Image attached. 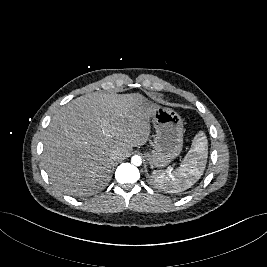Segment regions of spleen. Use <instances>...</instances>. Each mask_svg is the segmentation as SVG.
Segmentation results:
<instances>
[{
    "mask_svg": "<svg viewBox=\"0 0 267 267\" xmlns=\"http://www.w3.org/2000/svg\"><path fill=\"white\" fill-rule=\"evenodd\" d=\"M208 157V141L203 131L196 134L191 149L176 170L153 173L154 182L163 190L181 192L190 188L203 174Z\"/></svg>",
    "mask_w": 267,
    "mask_h": 267,
    "instance_id": "spleen-1",
    "label": "spleen"
}]
</instances>
